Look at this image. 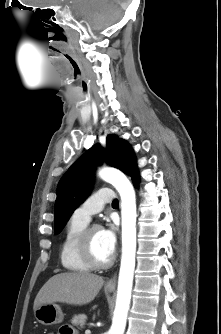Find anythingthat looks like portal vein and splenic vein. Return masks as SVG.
<instances>
[{
  "label": "portal vein and splenic vein",
  "instance_id": "obj_1",
  "mask_svg": "<svg viewBox=\"0 0 221 334\" xmlns=\"http://www.w3.org/2000/svg\"><path fill=\"white\" fill-rule=\"evenodd\" d=\"M91 331L89 329L85 330V334H90Z\"/></svg>",
  "mask_w": 221,
  "mask_h": 334
}]
</instances>
